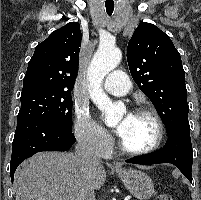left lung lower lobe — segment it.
Segmentation results:
<instances>
[{
    "label": "left lung lower lobe",
    "instance_id": "1",
    "mask_svg": "<svg viewBox=\"0 0 201 200\" xmlns=\"http://www.w3.org/2000/svg\"><path fill=\"white\" fill-rule=\"evenodd\" d=\"M168 135L165 146L154 153L126 160L128 163L152 165L171 163L192 183L193 152L190 139V127L178 128Z\"/></svg>",
    "mask_w": 201,
    "mask_h": 200
}]
</instances>
